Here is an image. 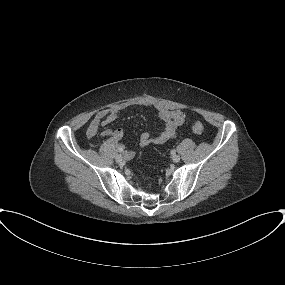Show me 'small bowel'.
<instances>
[{
    "mask_svg": "<svg viewBox=\"0 0 285 285\" xmlns=\"http://www.w3.org/2000/svg\"><path fill=\"white\" fill-rule=\"evenodd\" d=\"M135 104L154 106L158 111L159 118L165 122V124L162 126L160 134L152 135L149 133H143L140 136L139 145L141 147H146L151 144L161 145L168 142L169 140L173 139L176 136L178 129L184 123V114L181 110L167 109L160 104H155L148 99H143L134 104H121L99 111L88 125V128L86 130L87 138L93 139L94 137H96L100 127H105L111 124L119 117L122 110H124L129 105H135ZM102 136L105 138V144L107 146L111 147L116 146L117 149L121 148L123 149V151L125 150L124 145L120 143V140L123 137L122 129L107 128L102 131ZM124 153H126L129 157L132 156L131 151L125 150Z\"/></svg>",
    "mask_w": 285,
    "mask_h": 285,
    "instance_id": "small-bowel-1",
    "label": "small bowel"
}]
</instances>
